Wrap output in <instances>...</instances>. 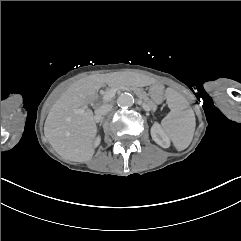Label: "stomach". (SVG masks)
<instances>
[{"mask_svg": "<svg viewBox=\"0 0 241 241\" xmlns=\"http://www.w3.org/2000/svg\"><path fill=\"white\" fill-rule=\"evenodd\" d=\"M164 85L157 83L150 87L149 89V96L151 97L152 101L159 104L164 99Z\"/></svg>", "mask_w": 241, "mask_h": 241, "instance_id": "0dacf381", "label": "stomach"}]
</instances>
